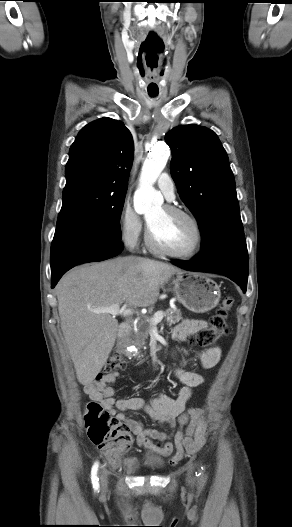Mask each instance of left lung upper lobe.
Instances as JSON below:
<instances>
[{"mask_svg": "<svg viewBox=\"0 0 292 527\" xmlns=\"http://www.w3.org/2000/svg\"><path fill=\"white\" fill-rule=\"evenodd\" d=\"M165 140L178 193L198 221L201 251L245 241L234 176L217 135L192 124L172 129Z\"/></svg>", "mask_w": 292, "mask_h": 527, "instance_id": "1", "label": "left lung upper lobe"}]
</instances>
